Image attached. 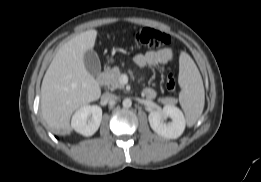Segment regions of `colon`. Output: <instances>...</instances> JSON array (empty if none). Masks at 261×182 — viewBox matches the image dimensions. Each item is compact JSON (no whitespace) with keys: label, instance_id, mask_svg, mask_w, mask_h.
<instances>
[{"label":"colon","instance_id":"5ec220e1","mask_svg":"<svg viewBox=\"0 0 261 182\" xmlns=\"http://www.w3.org/2000/svg\"><path fill=\"white\" fill-rule=\"evenodd\" d=\"M133 39L140 45L148 48H159L170 43V36L164 32L153 28L144 27L135 30L132 34ZM166 89L170 92L175 90L176 83L172 75H168L165 81Z\"/></svg>","mask_w":261,"mask_h":182}]
</instances>
